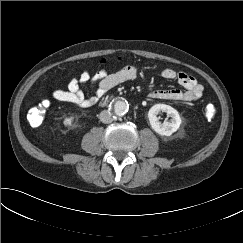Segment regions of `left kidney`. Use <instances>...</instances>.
<instances>
[{
  "mask_svg": "<svg viewBox=\"0 0 243 243\" xmlns=\"http://www.w3.org/2000/svg\"><path fill=\"white\" fill-rule=\"evenodd\" d=\"M160 111L166 112L171 117V120L161 123L157 117ZM148 118L152 129L161 136H171L179 129L182 123L178 111L166 104L152 106L148 112Z\"/></svg>",
  "mask_w": 243,
  "mask_h": 243,
  "instance_id": "left-kidney-1",
  "label": "left kidney"
}]
</instances>
